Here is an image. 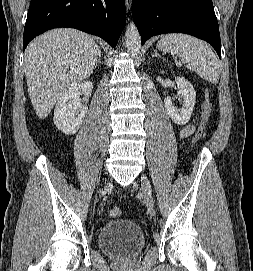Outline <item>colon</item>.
Segmentation results:
<instances>
[{
	"mask_svg": "<svg viewBox=\"0 0 253 271\" xmlns=\"http://www.w3.org/2000/svg\"><path fill=\"white\" fill-rule=\"evenodd\" d=\"M212 116V100L209 95H206L202 104V118L199 125V128L193 138V144L198 143L206 134L210 120ZM122 211L120 208L115 207L110 209L109 216L112 218H117L121 215Z\"/></svg>",
	"mask_w": 253,
	"mask_h": 271,
	"instance_id": "colon-1",
	"label": "colon"
}]
</instances>
